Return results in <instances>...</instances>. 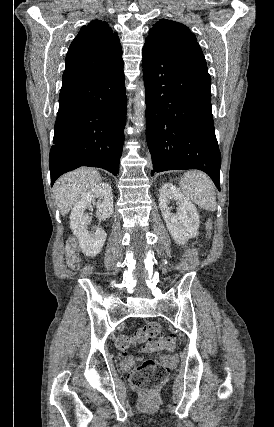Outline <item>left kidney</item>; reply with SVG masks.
Returning <instances> with one entry per match:
<instances>
[{
	"mask_svg": "<svg viewBox=\"0 0 274 427\" xmlns=\"http://www.w3.org/2000/svg\"><path fill=\"white\" fill-rule=\"evenodd\" d=\"M170 200H175L177 204L176 214L170 212ZM159 208L166 221L168 231L176 243H186L190 237L197 235L200 219L194 204L189 202L180 190L169 182L164 184L160 190Z\"/></svg>",
	"mask_w": 274,
	"mask_h": 427,
	"instance_id": "left-kidney-1",
	"label": "left kidney"
}]
</instances>
